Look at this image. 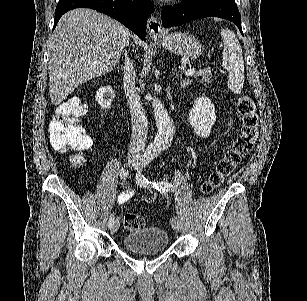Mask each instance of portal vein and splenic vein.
Wrapping results in <instances>:
<instances>
[{
  "mask_svg": "<svg viewBox=\"0 0 307 301\" xmlns=\"http://www.w3.org/2000/svg\"><path fill=\"white\" fill-rule=\"evenodd\" d=\"M196 72L195 68H189V70H186L187 76H191V74H194Z\"/></svg>",
  "mask_w": 307,
  "mask_h": 301,
  "instance_id": "portal-vein-and-splenic-vein-1",
  "label": "portal vein and splenic vein"
}]
</instances>
